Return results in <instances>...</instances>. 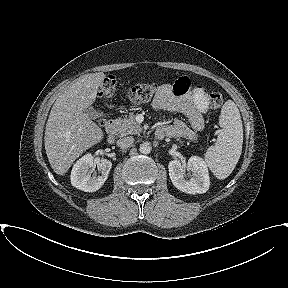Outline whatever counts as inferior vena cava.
I'll return each instance as SVG.
<instances>
[{"label": "inferior vena cava", "instance_id": "602c4592", "mask_svg": "<svg viewBox=\"0 0 288 288\" xmlns=\"http://www.w3.org/2000/svg\"><path fill=\"white\" fill-rule=\"evenodd\" d=\"M133 143H134V138L132 136L124 137L117 141V145L122 149L131 147Z\"/></svg>", "mask_w": 288, "mask_h": 288}]
</instances>
